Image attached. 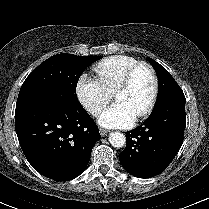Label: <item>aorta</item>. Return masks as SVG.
<instances>
[{
  "label": "aorta",
  "instance_id": "762f6f07",
  "mask_svg": "<svg viewBox=\"0 0 209 209\" xmlns=\"http://www.w3.org/2000/svg\"><path fill=\"white\" fill-rule=\"evenodd\" d=\"M109 142L115 148H121L126 143V137L121 132H112L109 135Z\"/></svg>",
  "mask_w": 209,
  "mask_h": 209
}]
</instances>
